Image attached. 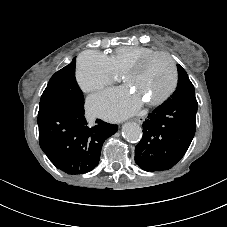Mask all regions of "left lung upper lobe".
Returning a JSON list of instances; mask_svg holds the SVG:
<instances>
[{"label":"left lung upper lobe","instance_id":"5c2ea615","mask_svg":"<svg viewBox=\"0 0 227 227\" xmlns=\"http://www.w3.org/2000/svg\"><path fill=\"white\" fill-rule=\"evenodd\" d=\"M196 99L194 86L189 80V77L186 71L182 68V66L178 65V84L177 88L172 94L170 99Z\"/></svg>","mask_w":227,"mask_h":227}]
</instances>
